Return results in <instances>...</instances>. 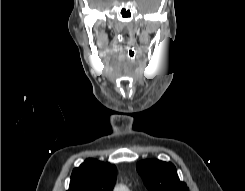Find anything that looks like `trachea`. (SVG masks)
Here are the masks:
<instances>
[{
	"instance_id": "trachea-1",
	"label": "trachea",
	"mask_w": 245,
	"mask_h": 191,
	"mask_svg": "<svg viewBox=\"0 0 245 191\" xmlns=\"http://www.w3.org/2000/svg\"><path fill=\"white\" fill-rule=\"evenodd\" d=\"M127 57H128V59H129L130 61H134L135 58H136V52H135V50H134V49H129V50L127 51Z\"/></svg>"
}]
</instances>
